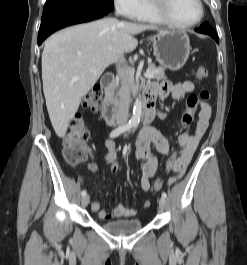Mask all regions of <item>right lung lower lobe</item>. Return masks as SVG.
I'll return each instance as SVG.
<instances>
[{"label": "right lung lower lobe", "instance_id": "1", "mask_svg": "<svg viewBox=\"0 0 247 265\" xmlns=\"http://www.w3.org/2000/svg\"><path fill=\"white\" fill-rule=\"evenodd\" d=\"M112 10L113 3L106 0H47L42 14L38 45L61 28L103 17Z\"/></svg>", "mask_w": 247, "mask_h": 265}]
</instances>
